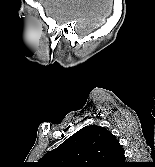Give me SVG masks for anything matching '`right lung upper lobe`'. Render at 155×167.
I'll use <instances>...</instances> for the list:
<instances>
[{"mask_svg":"<svg viewBox=\"0 0 155 167\" xmlns=\"http://www.w3.org/2000/svg\"><path fill=\"white\" fill-rule=\"evenodd\" d=\"M40 163L43 167H121L125 156L111 132L90 125L44 155Z\"/></svg>","mask_w":155,"mask_h":167,"instance_id":"right-lung-upper-lobe-1","label":"right lung upper lobe"}]
</instances>
